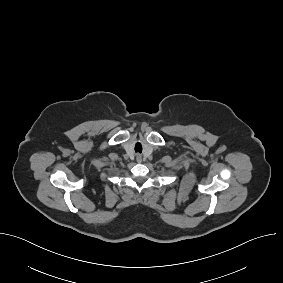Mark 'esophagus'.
Here are the masks:
<instances>
[{
    "label": "esophagus",
    "mask_w": 283,
    "mask_h": 283,
    "mask_svg": "<svg viewBox=\"0 0 283 283\" xmlns=\"http://www.w3.org/2000/svg\"><path fill=\"white\" fill-rule=\"evenodd\" d=\"M136 160H137V162H142V156L140 155V154H137L136 155Z\"/></svg>",
    "instance_id": "34e87169"
}]
</instances>
